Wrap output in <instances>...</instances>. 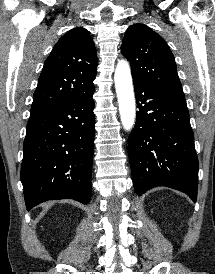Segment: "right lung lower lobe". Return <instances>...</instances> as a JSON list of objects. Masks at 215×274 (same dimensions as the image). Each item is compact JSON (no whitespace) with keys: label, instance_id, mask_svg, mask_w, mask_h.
Segmentation results:
<instances>
[{"label":"right lung lower lobe","instance_id":"98d812e1","mask_svg":"<svg viewBox=\"0 0 215 274\" xmlns=\"http://www.w3.org/2000/svg\"><path fill=\"white\" fill-rule=\"evenodd\" d=\"M94 86L28 121L21 182L27 210L54 199H91Z\"/></svg>","mask_w":215,"mask_h":274}]
</instances>
